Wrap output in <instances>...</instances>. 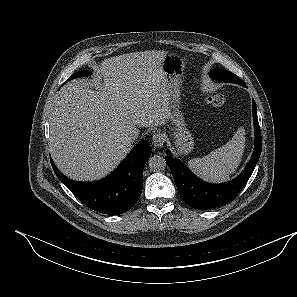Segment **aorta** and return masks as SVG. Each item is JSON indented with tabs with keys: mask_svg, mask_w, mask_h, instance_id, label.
Returning a JSON list of instances; mask_svg holds the SVG:
<instances>
[{
	"mask_svg": "<svg viewBox=\"0 0 297 297\" xmlns=\"http://www.w3.org/2000/svg\"><path fill=\"white\" fill-rule=\"evenodd\" d=\"M148 165L151 171L159 172L166 168V161L159 155H154L149 158Z\"/></svg>",
	"mask_w": 297,
	"mask_h": 297,
	"instance_id": "1",
	"label": "aorta"
}]
</instances>
